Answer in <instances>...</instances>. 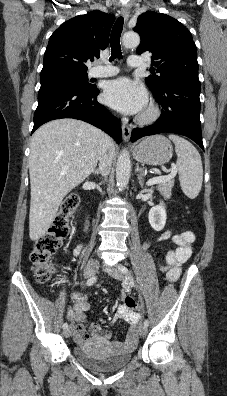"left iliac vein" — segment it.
<instances>
[{"instance_id":"left-iliac-vein-1","label":"left iliac vein","mask_w":227,"mask_h":396,"mask_svg":"<svg viewBox=\"0 0 227 396\" xmlns=\"http://www.w3.org/2000/svg\"><path fill=\"white\" fill-rule=\"evenodd\" d=\"M107 272L116 280L121 281L123 279V272L121 271V266L117 265L112 269L107 270ZM138 333L140 336H145L147 334V328L143 325L139 327Z\"/></svg>"}]
</instances>
